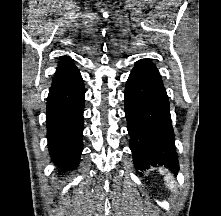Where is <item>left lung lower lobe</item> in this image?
Wrapping results in <instances>:
<instances>
[{
  "mask_svg": "<svg viewBox=\"0 0 221 216\" xmlns=\"http://www.w3.org/2000/svg\"><path fill=\"white\" fill-rule=\"evenodd\" d=\"M125 113L134 166L145 170L158 164L178 171L168 96L149 59L138 60L129 75Z\"/></svg>",
  "mask_w": 221,
  "mask_h": 216,
  "instance_id": "obj_1",
  "label": "left lung lower lobe"
}]
</instances>
